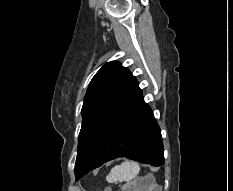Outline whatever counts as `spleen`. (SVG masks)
<instances>
[{"mask_svg": "<svg viewBox=\"0 0 233 191\" xmlns=\"http://www.w3.org/2000/svg\"><path fill=\"white\" fill-rule=\"evenodd\" d=\"M140 170L139 165L136 162L125 161L120 165L115 166L111 169L107 175L106 180L109 183L113 182H130L138 175Z\"/></svg>", "mask_w": 233, "mask_h": 191, "instance_id": "1", "label": "spleen"}]
</instances>
